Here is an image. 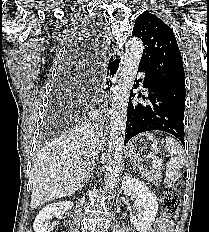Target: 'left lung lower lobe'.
Here are the masks:
<instances>
[{
  "label": "left lung lower lobe",
  "mask_w": 209,
  "mask_h": 232,
  "mask_svg": "<svg viewBox=\"0 0 209 232\" xmlns=\"http://www.w3.org/2000/svg\"><path fill=\"white\" fill-rule=\"evenodd\" d=\"M138 72H144L145 78L136 80L133 88L143 82L149 93L139 97L146 99L147 104L132 103L134 94H130L124 144L139 133L160 130L174 135L184 145L185 87L161 80L143 65H139Z\"/></svg>",
  "instance_id": "0a47b994"
}]
</instances>
